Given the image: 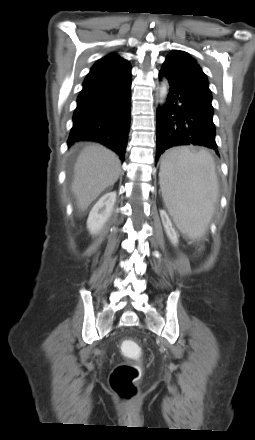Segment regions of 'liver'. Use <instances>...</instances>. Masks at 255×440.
Listing matches in <instances>:
<instances>
[{
    "mask_svg": "<svg viewBox=\"0 0 255 440\" xmlns=\"http://www.w3.org/2000/svg\"><path fill=\"white\" fill-rule=\"evenodd\" d=\"M121 172L119 157L99 144H91L81 151L74 167L71 190L77 206L85 211L108 187L114 185Z\"/></svg>",
    "mask_w": 255,
    "mask_h": 440,
    "instance_id": "1",
    "label": "liver"
}]
</instances>
